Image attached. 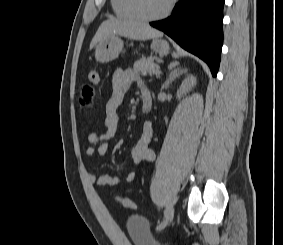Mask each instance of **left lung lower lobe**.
<instances>
[{"mask_svg": "<svg viewBox=\"0 0 283 245\" xmlns=\"http://www.w3.org/2000/svg\"><path fill=\"white\" fill-rule=\"evenodd\" d=\"M225 0H180L170 17L151 22L182 48L204 60L215 77L223 44Z\"/></svg>", "mask_w": 283, "mask_h": 245, "instance_id": "0a47b994", "label": "left lung lower lobe"}]
</instances>
